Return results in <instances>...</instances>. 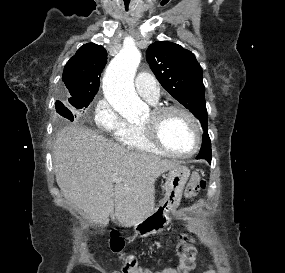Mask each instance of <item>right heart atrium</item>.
<instances>
[{"label":"right heart atrium","mask_w":285,"mask_h":273,"mask_svg":"<svg viewBox=\"0 0 285 273\" xmlns=\"http://www.w3.org/2000/svg\"><path fill=\"white\" fill-rule=\"evenodd\" d=\"M94 122L101 132L109 134L116 139L130 127V123L104 98L100 99L95 106Z\"/></svg>","instance_id":"right-heart-atrium-1"}]
</instances>
